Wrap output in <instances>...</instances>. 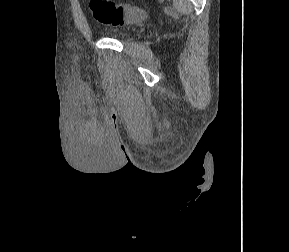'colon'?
Wrapping results in <instances>:
<instances>
[{
  "instance_id": "1",
  "label": "colon",
  "mask_w": 289,
  "mask_h": 252,
  "mask_svg": "<svg viewBox=\"0 0 289 252\" xmlns=\"http://www.w3.org/2000/svg\"><path fill=\"white\" fill-rule=\"evenodd\" d=\"M90 11L96 21L110 26H122L146 18L143 10L110 0H91Z\"/></svg>"
}]
</instances>
